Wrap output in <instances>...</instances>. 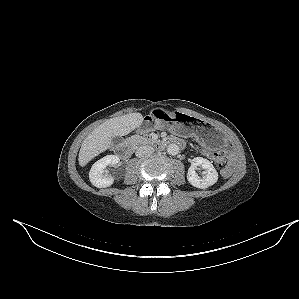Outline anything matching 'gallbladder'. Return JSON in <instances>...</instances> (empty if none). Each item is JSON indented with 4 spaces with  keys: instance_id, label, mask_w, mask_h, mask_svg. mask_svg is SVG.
I'll return each mask as SVG.
<instances>
[{
    "instance_id": "gallbladder-1",
    "label": "gallbladder",
    "mask_w": 299,
    "mask_h": 299,
    "mask_svg": "<svg viewBox=\"0 0 299 299\" xmlns=\"http://www.w3.org/2000/svg\"><path fill=\"white\" fill-rule=\"evenodd\" d=\"M121 141H122V138L119 137V136H114V137L112 138V142H113V143H120Z\"/></svg>"
}]
</instances>
